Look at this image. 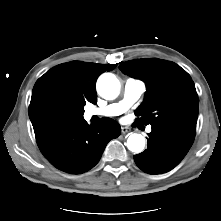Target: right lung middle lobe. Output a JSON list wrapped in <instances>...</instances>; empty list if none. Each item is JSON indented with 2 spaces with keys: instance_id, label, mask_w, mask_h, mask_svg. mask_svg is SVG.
<instances>
[{
  "instance_id": "right-lung-middle-lobe-1",
  "label": "right lung middle lobe",
  "mask_w": 221,
  "mask_h": 221,
  "mask_svg": "<svg viewBox=\"0 0 221 221\" xmlns=\"http://www.w3.org/2000/svg\"><path fill=\"white\" fill-rule=\"evenodd\" d=\"M83 114H84V108L81 107L79 109V111L72 117V119H74V118H83Z\"/></svg>"
}]
</instances>
